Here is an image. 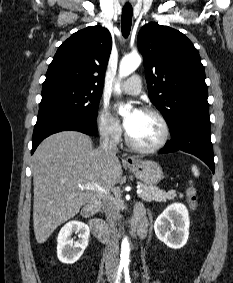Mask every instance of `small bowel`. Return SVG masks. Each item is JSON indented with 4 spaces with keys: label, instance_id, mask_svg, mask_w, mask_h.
<instances>
[{
    "label": "small bowel",
    "instance_id": "small-bowel-1",
    "mask_svg": "<svg viewBox=\"0 0 233 283\" xmlns=\"http://www.w3.org/2000/svg\"><path fill=\"white\" fill-rule=\"evenodd\" d=\"M141 217V219H139L138 217ZM140 221H143L145 223V221L142 219V213L139 211L136 213V216H135V223H138ZM154 283H160L159 281H155Z\"/></svg>",
    "mask_w": 233,
    "mask_h": 283
}]
</instances>
